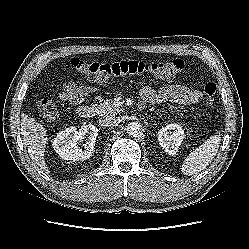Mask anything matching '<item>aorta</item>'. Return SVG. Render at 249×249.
I'll list each match as a JSON object with an SVG mask.
<instances>
[{
	"instance_id": "1",
	"label": "aorta",
	"mask_w": 249,
	"mask_h": 249,
	"mask_svg": "<svg viewBox=\"0 0 249 249\" xmlns=\"http://www.w3.org/2000/svg\"><path fill=\"white\" fill-rule=\"evenodd\" d=\"M127 132L133 137H141L143 135V127L139 122H132L128 125Z\"/></svg>"
}]
</instances>
